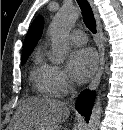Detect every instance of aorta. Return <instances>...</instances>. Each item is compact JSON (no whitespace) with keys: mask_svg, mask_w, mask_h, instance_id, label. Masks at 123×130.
Segmentation results:
<instances>
[{"mask_svg":"<svg viewBox=\"0 0 123 130\" xmlns=\"http://www.w3.org/2000/svg\"><path fill=\"white\" fill-rule=\"evenodd\" d=\"M80 15L79 10L74 6H64L55 15L49 32L51 36L52 57L55 64L65 61L69 44L68 33ZM102 106L101 95L97 93L94 106L91 112L87 130H98L101 122Z\"/></svg>","mask_w":123,"mask_h":130,"instance_id":"1","label":"aorta"}]
</instances>
